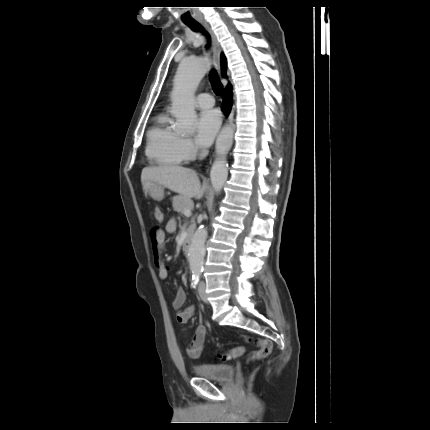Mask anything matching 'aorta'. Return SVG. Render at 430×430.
Listing matches in <instances>:
<instances>
[{"label":"aorta","mask_w":430,"mask_h":430,"mask_svg":"<svg viewBox=\"0 0 430 430\" xmlns=\"http://www.w3.org/2000/svg\"><path fill=\"white\" fill-rule=\"evenodd\" d=\"M209 70L208 60L203 58H185L177 69L174 87L171 93V113L176 118L175 129L180 133H192L197 115L193 96L198 84ZM234 129L226 125L216 140L217 157L211 167V184L220 192L228 177L226 156L232 146ZM207 228L199 227L192 238L188 252L190 270L200 273L203 269Z\"/></svg>","instance_id":"1"}]
</instances>
